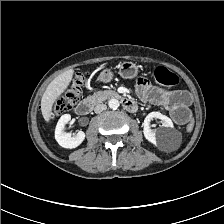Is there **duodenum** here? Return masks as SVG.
I'll use <instances>...</instances> for the list:
<instances>
[{
  "instance_id": "obj_1",
  "label": "duodenum",
  "mask_w": 224,
  "mask_h": 224,
  "mask_svg": "<svg viewBox=\"0 0 224 224\" xmlns=\"http://www.w3.org/2000/svg\"><path fill=\"white\" fill-rule=\"evenodd\" d=\"M104 97L110 99H120L125 110H127L130 113H133L137 110V104L133 100L129 98H123L117 92L108 91L104 94ZM99 98H100L99 96H91L85 98L84 100H82L80 103L77 104V106L75 107V112L81 116L87 115L92 110L94 105L97 104Z\"/></svg>"
}]
</instances>
